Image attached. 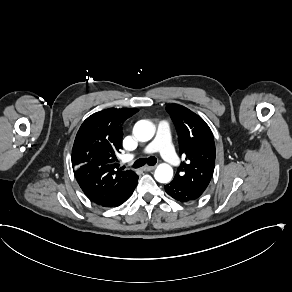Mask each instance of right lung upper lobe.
Instances as JSON below:
<instances>
[{
    "label": "right lung upper lobe",
    "instance_id": "1",
    "mask_svg": "<svg viewBox=\"0 0 292 292\" xmlns=\"http://www.w3.org/2000/svg\"><path fill=\"white\" fill-rule=\"evenodd\" d=\"M136 112L115 108L96 112L77 132L71 155L74 174L85 195L98 205L119 197L138 177L116 163V153L122 148V123Z\"/></svg>",
    "mask_w": 292,
    "mask_h": 292
}]
</instances>
